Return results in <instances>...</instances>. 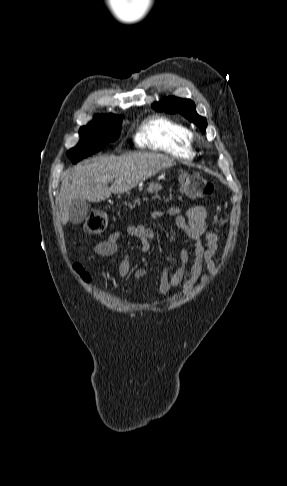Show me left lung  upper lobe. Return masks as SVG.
I'll return each instance as SVG.
<instances>
[{
    "mask_svg": "<svg viewBox=\"0 0 287 486\" xmlns=\"http://www.w3.org/2000/svg\"><path fill=\"white\" fill-rule=\"evenodd\" d=\"M152 107L158 111H165L167 113H180L195 123L201 131H205L207 122L206 119L199 116L195 111V104L189 99H181L177 97H168L159 102H155Z\"/></svg>",
    "mask_w": 287,
    "mask_h": 486,
    "instance_id": "5c2ea615",
    "label": "left lung upper lobe"
}]
</instances>
